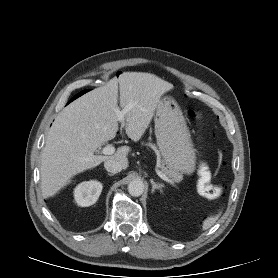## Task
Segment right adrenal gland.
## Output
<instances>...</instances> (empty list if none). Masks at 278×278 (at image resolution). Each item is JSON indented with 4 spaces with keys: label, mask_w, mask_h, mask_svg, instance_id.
Listing matches in <instances>:
<instances>
[{
    "label": "right adrenal gland",
    "mask_w": 278,
    "mask_h": 278,
    "mask_svg": "<svg viewBox=\"0 0 278 278\" xmlns=\"http://www.w3.org/2000/svg\"><path fill=\"white\" fill-rule=\"evenodd\" d=\"M109 176H113L114 174H111V173H107Z\"/></svg>",
    "instance_id": "1"
}]
</instances>
